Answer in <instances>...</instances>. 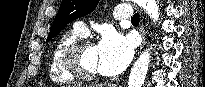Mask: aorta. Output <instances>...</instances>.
<instances>
[{"label": "aorta", "instance_id": "1", "mask_svg": "<svg viewBox=\"0 0 205 87\" xmlns=\"http://www.w3.org/2000/svg\"><path fill=\"white\" fill-rule=\"evenodd\" d=\"M150 16L154 23L159 20V7L157 0H135ZM150 62V48L146 49L134 63L128 80V87H142L144 84Z\"/></svg>", "mask_w": 205, "mask_h": 87}]
</instances>
